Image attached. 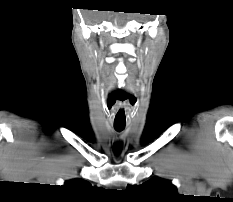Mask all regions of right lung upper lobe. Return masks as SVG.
Masks as SVG:
<instances>
[{
  "instance_id": "right-lung-upper-lobe-1",
  "label": "right lung upper lobe",
  "mask_w": 233,
  "mask_h": 202,
  "mask_svg": "<svg viewBox=\"0 0 233 202\" xmlns=\"http://www.w3.org/2000/svg\"><path fill=\"white\" fill-rule=\"evenodd\" d=\"M65 185L66 186H88L89 183L81 179H75V180L67 181Z\"/></svg>"
}]
</instances>
